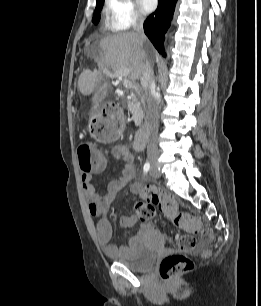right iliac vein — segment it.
Instances as JSON below:
<instances>
[{"label": "right iliac vein", "mask_w": 261, "mask_h": 306, "mask_svg": "<svg viewBox=\"0 0 261 306\" xmlns=\"http://www.w3.org/2000/svg\"><path fill=\"white\" fill-rule=\"evenodd\" d=\"M152 170H153L157 175L159 174V172H158V170H157V168H156L155 165L152 166Z\"/></svg>", "instance_id": "obj_1"}]
</instances>
